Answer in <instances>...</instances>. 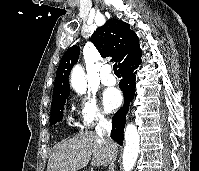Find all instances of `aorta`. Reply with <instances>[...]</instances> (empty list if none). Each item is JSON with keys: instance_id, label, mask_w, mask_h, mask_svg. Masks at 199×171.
<instances>
[{"instance_id": "1", "label": "aorta", "mask_w": 199, "mask_h": 171, "mask_svg": "<svg viewBox=\"0 0 199 171\" xmlns=\"http://www.w3.org/2000/svg\"><path fill=\"white\" fill-rule=\"evenodd\" d=\"M71 85L79 94L86 92L87 83L85 80V73L81 66L77 65L73 68L71 73ZM139 152V135L134 124H128L125 129V148L123 153V169L124 171H131L138 158Z\"/></svg>"}]
</instances>
